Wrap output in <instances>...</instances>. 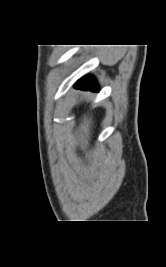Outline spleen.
<instances>
[{
    "label": "spleen",
    "instance_id": "obj_1",
    "mask_svg": "<svg viewBox=\"0 0 166 267\" xmlns=\"http://www.w3.org/2000/svg\"><path fill=\"white\" fill-rule=\"evenodd\" d=\"M82 129L84 130L85 133L88 132V122H84V124L82 125Z\"/></svg>",
    "mask_w": 166,
    "mask_h": 267
}]
</instances>
